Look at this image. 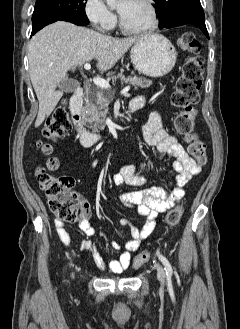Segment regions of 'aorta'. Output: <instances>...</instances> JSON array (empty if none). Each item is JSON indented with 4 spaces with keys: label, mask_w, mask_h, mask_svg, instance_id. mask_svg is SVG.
Instances as JSON below:
<instances>
[{
    "label": "aorta",
    "mask_w": 240,
    "mask_h": 329,
    "mask_svg": "<svg viewBox=\"0 0 240 329\" xmlns=\"http://www.w3.org/2000/svg\"><path fill=\"white\" fill-rule=\"evenodd\" d=\"M124 0H106L107 4L110 6V7H115L117 6L118 4H120L121 2H123Z\"/></svg>",
    "instance_id": "1"
}]
</instances>
